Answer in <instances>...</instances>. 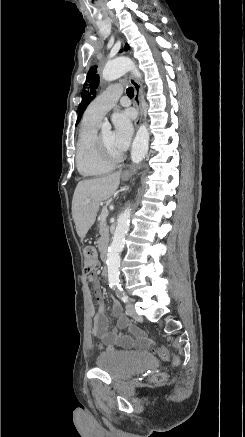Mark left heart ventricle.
<instances>
[{
	"label": "left heart ventricle",
	"instance_id": "left-heart-ventricle-1",
	"mask_svg": "<svg viewBox=\"0 0 245 437\" xmlns=\"http://www.w3.org/2000/svg\"><path fill=\"white\" fill-rule=\"evenodd\" d=\"M100 138L104 144V146L106 147V149L113 155H118L120 154L115 146H114V142H113V134L111 131H106V132H102L100 134Z\"/></svg>",
	"mask_w": 245,
	"mask_h": 437
}]
</instances>
